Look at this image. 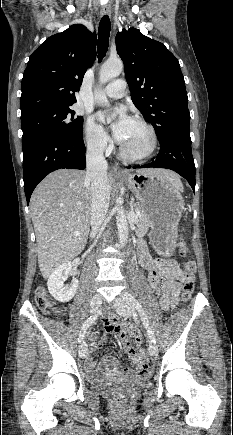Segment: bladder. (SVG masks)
<instances>
[{
  "mask_svg": "<svg viewBox=\"0 0 233 435\" xmlns=\"http://www.w3.org/2000/svg\"><path fill=\"white\" fill-rule=\"evenodd\" d=\"M151 378V375H145L140 379H137L135 382L131 383V386H142L145 384V382ZM100 387H103V385H99Z\"/></svg>",
  "mask_w": 233,
  "mask_h": 435,
  "instance_id": "bladder-1",
  "label": "bladder"
}]
</instances>
